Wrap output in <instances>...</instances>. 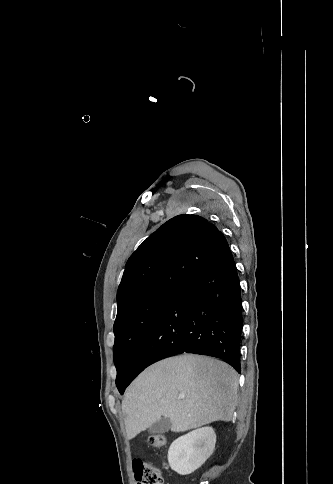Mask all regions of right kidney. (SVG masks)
Wrapping results in <instances>:
<instances>
[{"instance_id":"obj_1","label":"right kidney","mask_w":333,"mask_h":484,"mask_svg":"<svg viewBox=\"0 0 333 484\" xmlns=\"http://www.w3.org/2000/svg\"><path fill=\"white\" fill-rule=\"evenodd\" d=\"M216 443L212 427H203L179 437L171 444L168 462L180 475H189L200 468L211 456Z\"/></svg>"}]
</instances>
